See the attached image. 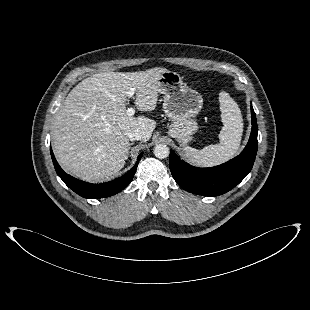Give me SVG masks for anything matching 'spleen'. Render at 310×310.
<instances>
[{
  "mask_svg": "<svg viewBox=\"0 0 310 310\" xmlns=\"http://www.w3.org/2000/svg\"><path fill=\"white\" fill-rule=\"evenodd\" d=\"M219 102L224 125L219 133L220 143L200 150L185 147V156L194 165L202 167L219 165L233 158L239 149L243 133L241 111L238 104L224 91L219 95Z\"/></svg>",
  "mask_w": 310,
  "mask_h": 310,
  "instance_id": "obj_1",
  "label": "spleen"
}]
</instances>
